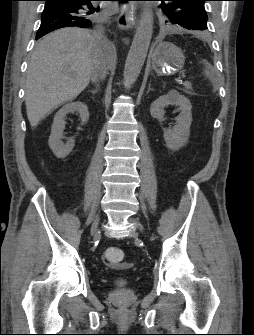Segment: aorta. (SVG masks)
I'll list each match as a JSON object with an SVG mask.
<instances>
[{
  "label": "aorta",
  "instance_id": "aorta-1",
  "mask_svg": "<svg viewBox=\"0 0 254 335\" xmlns=\"http://www.w3.org/2000/svg\"><path fill=\"white\" fill-rule=\"evenodd\" d=\"M152 33L153 11L151 5L147 4L142 10L141 19L134 35L124 67L123 79L126 89L131 88L140 74L147 56Z\"/></svg>",
  "mask_w": 254,
  "mask_h": 335
}]
</instances>
